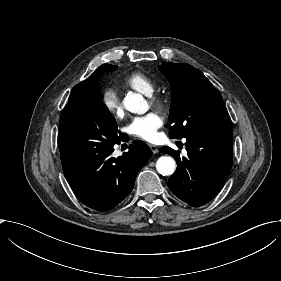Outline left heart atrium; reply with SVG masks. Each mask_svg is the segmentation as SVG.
Returning <instances> with one entry per match:
<instances>
[{
  "instance_id": "39dd6f15",
  "label": "left heart atrium",
  "mask_w": 281,
  "mask_h": 281,
  "mask_svg": "<svg viewBox=\"0 0 281 281\" xmlns=\"http://www.w3.org/2000/svg\"><path fill=\"white\" fill-rule=\"evenodd\" d=\"M162 116L151 111L143 116L134 117L126 126L127 132L139 139L155 142L159 139L158 130L163 126Z\"/></svg>"
}]
</instances>
